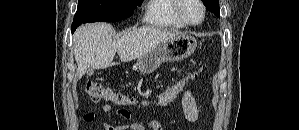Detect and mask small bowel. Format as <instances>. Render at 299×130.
<instances>
[{
    "mask_svg": "<svg viewBox=\"0 0 299 130\" xmlns=\"http://www.w3.org/2000/svg\"><path fill=\"white\" fill-rule=\"evenodd\" d=\"M182 106L184 110V114L186 119L190 123H196L199 117L197 106H196V99L194 95V91L189 88L187 89L182 98ZM101 110L105 113H110L112 108L110 105L105 104L101 107ZM116 114L128 119L130 117L128 111L124 109H119L116 111ZM95 118L94 112H88L83 116L84 122H92ZM104 130H164L162 125L157 121H147V122H136V123H129L119 126H112L110 124L105 123L103 125Z\"/></svg>",
    "mask_w": 299,
    "mask_h": 130,
    "instance_id": "1",
    "label": "small bowel"
}]
</instances>
